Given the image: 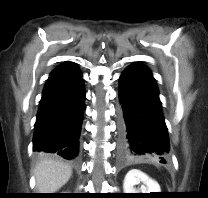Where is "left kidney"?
I'll return each mask as SVG.
<instances>
[{"label":"left kidney","instance_id":"left-kidney-1","mask_svg":"<svg viewBox=\"0 0 208 198\" xmlns=\"http://www.w3.org/2000/svg\"><path fill=\"white\" fill-rule=\"evenodd\" d=\"M143 183L140 189H136L135 185ZM124 193H150L161 192L159 184L138 169L130 170L123 183Z\"/></svg>","mask_w":208,"mask_h":198}]
</instances>
